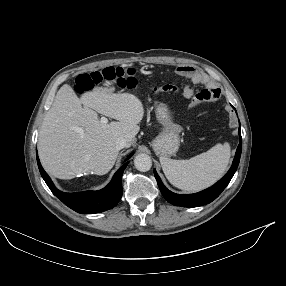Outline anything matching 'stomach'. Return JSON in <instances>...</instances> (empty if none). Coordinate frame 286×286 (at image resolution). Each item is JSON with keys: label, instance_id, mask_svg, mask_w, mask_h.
<instances>
[{"label": "stomach", "instance_id": "stomach-1", "mask_svg": "<svg viewBox=\"0 0 286 286\" xmlns=\"http://www.w3.org/2000/svg\"><path fill=\"white\" fill-rule=\"evenodd\" d=\"M166 105V104H165ZM167 114L172 118L168 106L166 105ZM180 146V139L175 135L168 133L166 130L162 132L153 140L152 147L156 154L161 157H168L175 154Z\"/></svg>", "mask_w": 286, "mask_h": 286}]
</instances>
